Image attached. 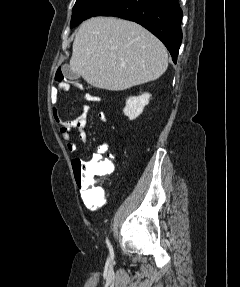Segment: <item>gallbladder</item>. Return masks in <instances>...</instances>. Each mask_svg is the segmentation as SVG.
<instances>
[{
    "mask_svg": "<svg viewBox=\"0 0 240 287\" xmlns=\"http://www.w3.org/2000/svg\"><path fill=\"white\" fill-rule=\"evenodd\" d=\"M65 77L69 80H77L80 78L78 73L73 72L68 66L64 68Z\"/></svg>",
    "mask_w": 240,
    "mask_h": 287,
    "instance_id": "obj_1",
    "label": "gallbladder"
}]
</instances>
